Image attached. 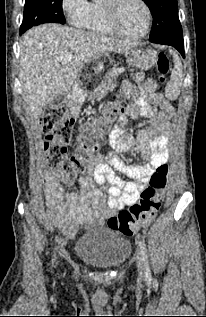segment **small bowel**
<instances>
[{
  "instance_id": "small-bowel-1",
  "label": "small bowel",
  "mask_w": 206,
  "mask_h": 317,
  "mask_svg": "<svg viewBox=\"0 0 206 317\" xmlns=\"http://www.w3.org/2000/svg\"><path fill=\"white\" fill-rule=\"evenodd\" d=\"M173 108L164 95L158 91L153 79H145L137 88L134 102L127 109L126 116L147 119V127L140 130L136 137L124 134L120 119L109 135L110 146L114 150H128L136 147L147 160L144 165L128 164L114 153L98 155L88 175L79 176L68 182L78 183L79 192H73L64 202L60 201L62 189H56L46 197L45 205L51 223L67 237H74L84 225H103L116 211L137 202L140 193L147 186L153 172L166 165L169 159L168 133ZM116 171L135 179L125 181ZM108 183V196L102 186Z\"/></svg>"
}]
</instances>
